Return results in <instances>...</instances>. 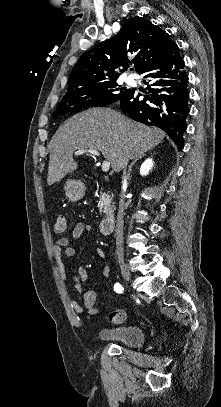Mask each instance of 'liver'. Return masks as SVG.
Wrapping results in <instances>:
<instances>
[{"label":"liver","instance_id":"obj_1","mask_svg":"<svg viewBox=\"0 0 221 407\" xmlns=\"http://www.w3.org/2000/svg\"><path fill=\"white\" fill-rule=\"evenodd\" d=\"M165 133L155 127L137 123L110 108H92L67 119L52 137L47 184L59 182L75 171L78 163L73 152L94 149L102 153L115 172L129 160L157 146Z\"/></svg>","mask_w":221,"mask_h":407}]
</instances>
